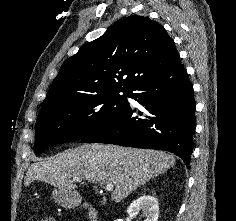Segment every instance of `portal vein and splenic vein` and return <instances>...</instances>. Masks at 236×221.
<instances>
[{
  "label": "portal vein and splenic vein",
  "mask_w": 236,
  "mask_h": 221,
  "mask_svg": "<svg viewBox=\"0 0 236 221\" xmlns=\"http://www.w3.org/2000/svg\"><path fill=\"white\" fill-rule=\"evenodd\" d=\"M73 180L74 181H77V182H80L81 181V179L79 178V177H75V178H73ZM113 185H111V184H108V185H105V186H103V188L105 189V191H111L112 189H113Z\"/></svg>",
  "instance_id": "obj_1"
}]
</instances>
